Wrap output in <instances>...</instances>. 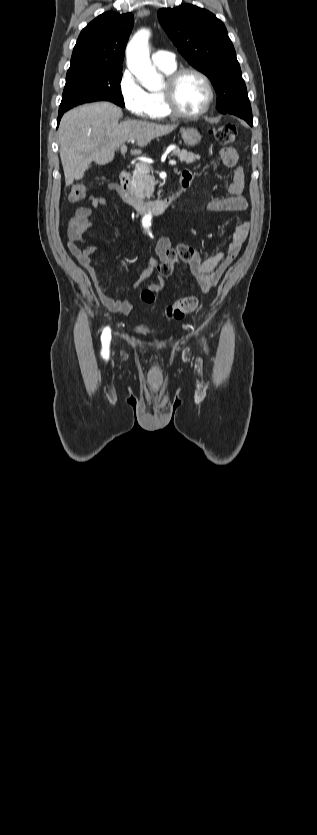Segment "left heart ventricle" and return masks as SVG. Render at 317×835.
<instances>
[{"label": "left heart ventricle", "mask_w": 317, "mask_h": 835, "mask_svg": "<svg viewBox=\"0 0 317 835\" xmlns=\"http://www.w3.org/2000/svg\"><path fill=\"white\" fill-rule=\"evenodd\" d=\"M207 98V89L203 80L194 74L183 76L176 89V100L179 108L185 113L199 111Z\"/></svg>", "instance_id": "b2bd125f"}]
</instances>
